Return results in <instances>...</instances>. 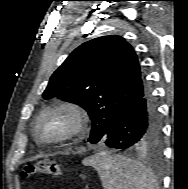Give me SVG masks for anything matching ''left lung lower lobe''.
I'll return each mask as SVG.
<instances>
[{"mask_svg":"<svg viewBox=\"0 0 188 189\" xmlns=\"http://www.w3.org/2000/svg\"><path fill=\"white\" fill-rule=\"evenodd\" d=\"M160 136L158 108L146 87L120 115L102 141L111 148L136 149Z\"/></svg>","mask_w":188,"mask_h":189,"instance_id":"obj_1","label":"left lung lower lobe"}]
</instances>
